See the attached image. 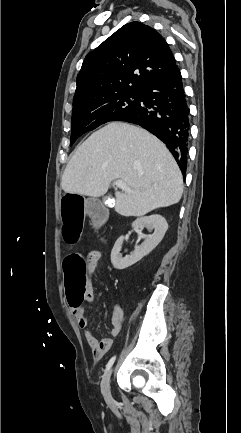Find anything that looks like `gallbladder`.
I'll return each instance as SVG.
<instances>
[{
    "mask_svg": "<svg viewBox=\"0 0 241 433\" xmlns=\"http://www.w3.org/2000/svg\"><path fill=\"white\" fill-rule=\"evenodd\" d=\"M87 212L92 217L104 218L108 215V210L101 201L89 198L87 200Z\"/></svg>",
    "mask_w": 241,
    "mask_h": 433,
    "instance_id": "1",
    "label": "gallbladder"
}]
</instances>
